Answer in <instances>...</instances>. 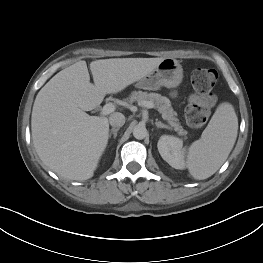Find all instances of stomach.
I'll return each instance as SVG.
<instances>
[{
  "label": "stomach",
  "instance_id": "0dacf381",
  "mask_svg": "<svg viewBox=\"0 0 263 263\" xmlns=\"http://www.w3.org/2000/svg\"><path fill=\"white\" fill-rule=\"evenodd\" d=\"M183 79V69L174 58H164L157 67L149 74L137 81L136 87L144 90H158L176 88Z\"/></svg>",
  "mask_w": 263,
  "mask_h": 263
}]
</instances>
